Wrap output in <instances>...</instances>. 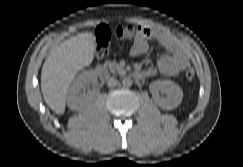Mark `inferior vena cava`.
Here are the masks:
<instances>
[{
    "mask_svg": "<svg viewBox=\"0 0 243 167\" xmlns=\"http://www.w3.org/2000/svg\"><path fill=\"white\" fill-rule=\"evenodd\" d=\"M116 85H118V80L116 78L111 77L108 79V81H107L108 87H114Z\"/></svg>",
    "mask_w": 243,
    "mask_h": 167,
    "instance_id": "1",
    "label": "inferior vena cava"
}]
</instances>
